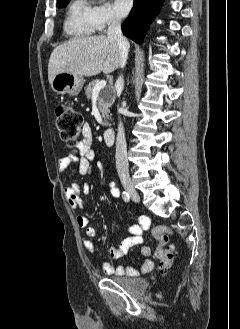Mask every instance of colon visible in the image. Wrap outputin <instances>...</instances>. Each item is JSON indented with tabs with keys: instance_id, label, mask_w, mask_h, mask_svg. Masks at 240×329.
Returning <instances> with one entry per match:
<instances>
[{
	"instance_id": "colon-1",
	"label": "colon",
	"mask_w": 240,
	"mask_h": 329,
	"mask_svg": "<svg viewBox=\"0 0 240 329\" xmlns=\"http://www.w3.org/2000/svg\"><path fill=\"white\" fill-rule=\"evenodd\" d=\"M55 119L62 140L70 147L76 146L77 137L83 127V116L70 106L60 105L55 110ZM170 234L171 230L165 225L152 229V235L158 242L155 254L162 269H167L174 259V251L168 246Z\"/></svg>"
}]
</instances>
